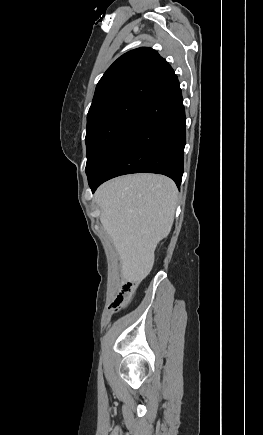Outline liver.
Here are the masks:
<instances>
[{
    "instance_id": "6515ba94",
    "label": "liver",
    "mask_w": 263,
    "mask_h": 435,
    "mask_svg": "<svg viewBox=\"0 0 263 435\" xmlns=\"http://www.w3.org/2000/svg\"><path fill=\"white\" fill-rule=\"evenodd\" d=\"M178 190L168 177L135 174L102 184L95 194L101 223L121 259V276L140 283L150 273L157 244L173 225Z\"/></svg>"
}]
</instances>
